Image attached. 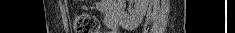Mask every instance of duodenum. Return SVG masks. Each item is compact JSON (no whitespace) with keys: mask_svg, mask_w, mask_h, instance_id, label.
Instances as JSON below:
<instances>
[{"mask_svg":"<svg viewBox=\"0 0 235 33\" xmlns=\"http://www.w3.org/2000/svg\"><path fill=\"white\" fill-rule=\"evenodd\" d=\"M105 6V25L110 30H114L118 26V8L114 1H103Z\"/></svg>","mask_w":235,"mask_h":33,"instance_id":"obj_1","label":"duodenum"}]
</instances>
